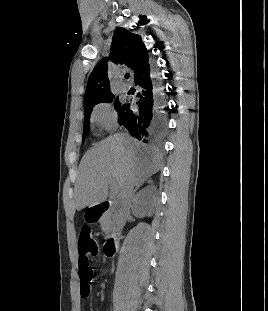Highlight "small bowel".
<instances>
[{"mask_svg":"<svg viewBox=\"0 0 268 311\" xmlns=\"http://www.w3.org/2000/svg\"><path fill=\"white\" fill-rule=\"evenodd\" d=\"M105 261V259H103V262ZM102 288L104 289L105 288V285H102ZM80 296L81 297H84L82 294H81V285H80ZM98 296H99V294H98Z\"/></svg>","mask_w":268,"mask_h":311,"instance_id":"c3829d8e","label":"small bowel"}]
</instances>
